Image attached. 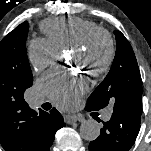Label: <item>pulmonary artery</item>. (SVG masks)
<instances>
[{
    "instance_id": "1",
    "label": "pulmonary artery",
    "mask_w": 151,
    "mask_h": 151,
    "mask_svg": "<svg viewBox=\"0 0 151 151\" xmlns=\"http://www.w3.org/2000/svg\"><path fill=\"white\" fill-rule=\"evenodd\" d=\"M43 102H44L43 99L40 98V97H35L34 98V104L35 105H41ZM111 115H112V110L111 109H107L103 113V119L104 120H109L111 118Z\"/></svg>"
}]
</instances>
